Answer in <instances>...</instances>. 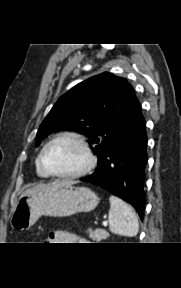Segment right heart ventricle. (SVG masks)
Segmentation results:
<instances>
[{
	"label": "right heart ventricle",
	"instance_id": "1",
	"mask_svg": "<svg viewBox=\"0 0 181 288\" xmlns=\"http://www.w3.org/2000/svg\"><path fill=\"white\" fill-rule=\"evenodd\" d=\"M35 172L41 178H48L49 177V175L44 171V169L42 168V166L40 164L39 156L35 160Z\"/></svg>",
	"mask_w": 181,
	"mask_h": 288
}]
</instances>
